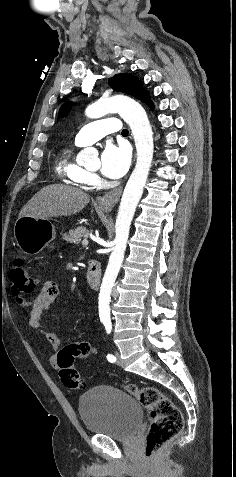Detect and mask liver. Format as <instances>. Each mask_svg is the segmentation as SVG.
Segmentation results:
<instances>
[{
  "label": "liver",
  "mask_w": 236,
  "mask_h": 477,
  "mask_svg": "<svg viewBox=\"0 0 236 477\" xmlns=\"http://www.w3.org/2000/svg\"><path fill=\"white\" fill-rule=\"evenodd\" d=\"M89 195L82 190L62 184H52L38 191L22 208L19 218L31 216L48 219L79 213L88 203Z\"/></svg>",
  "instance_id": "obj_1"
}]
</instances>
